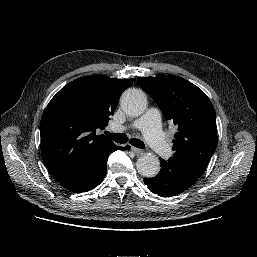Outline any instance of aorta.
<instances>
[{
  "label": "aorta",
  "mask_w": 257,
  "mask_h": 257,
  "mask_svg": "<svg viewBox=\"0 0 257 257\" xmlns=\"http://www.w3.org/2000/svg\"><path fill=\"white\" fill-rule=\"evenodd\" d=\"M120 104L127 115L137 117L145 111L147 97L141 90L129 89L121 96ZM136 168L141 176L152 178L160 170V161L155 155L146 153L138 158Z\"/></svg>",
  "instance_id": "aorta-1"
}]
</instances>
